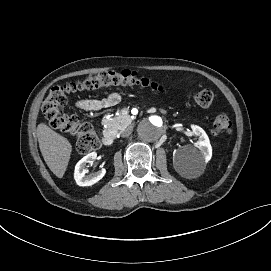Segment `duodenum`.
<instances>
[{
    "mask_svg": "<svg viewBox=\"0 0 271 271\" xmlns=\"http://www.w3.org/2000/svg\"><path fill=\"white\" fill-rule=\"evenodd\" d=\"M102 142L105 146H110L114 142V134L112 132H106L102 136Z\"/></svg>",
    "mask_w": 271,
    "mask_h": 271,
    "instance_id": "1",
    "label": "duodenum"
}]
</instances>
